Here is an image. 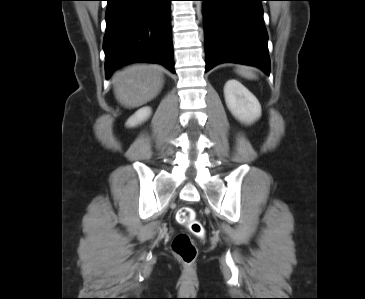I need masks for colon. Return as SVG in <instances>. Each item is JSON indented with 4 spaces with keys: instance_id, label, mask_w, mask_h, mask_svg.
Wrapping results in <instances>:
<instances>
[{
    "instance_id": "1",
    "label": "colon",
    "mask_w": 365,
    "mask_h": 299,
    "mask_svg": "<svg viewBox=\"0 0 365 299\" xmlns=\"http://www.w3.org/2000/svg\"><path fill=\"white\" fill-rule=\"evenodd\" d=\"M177 221L196 236L204 235V227L197 219L192 207H182L177 213ZM174 254L185 264H192L197 257V247L188 233L177 234L172 241Z\"/></svg>"
}]
</instances>
